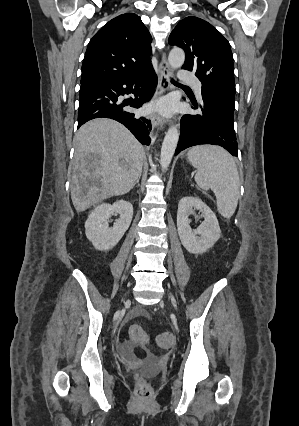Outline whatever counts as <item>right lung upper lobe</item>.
<instances>
[{
	"label": "right lung upper lobe",
	"instance_id": "cb5924a9",
	"mask_svg": "<svg viewBox=\"0 0 299 426\" xmlns=\"http://www.w3.org/2000/svg\"><path fill=\"white\" fill-rule=\"evenodd\" d=\"M151 41L138 15L125 13L112 19L89 42L81 84L112 82L151 69Z\"/></svg>",
	"mask_w": 299,
	"mask_h": 426
}]
</instances>
